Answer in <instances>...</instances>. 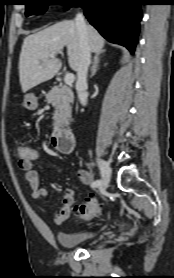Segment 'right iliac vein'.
Segmentation results:
<instances>
[{"mask_svg": "<svg viewBox=\"0 0 174 278\" xmlns=\"http://www.w3.org/2000/svg\"><path fill=\"white\" fill-rule=\"evenodd\" d=\"M98 162H99V167L101 170L103 185H104V187H107L110 182V178H111L110 167H109L108 163L104 160L99 159Z\"/></svg>", "mask_w": 174, "mask_h": 278, "instance_id": "right-iliac-vein-1", "label": "right iliac vein"}]
</instances>
